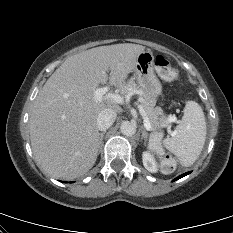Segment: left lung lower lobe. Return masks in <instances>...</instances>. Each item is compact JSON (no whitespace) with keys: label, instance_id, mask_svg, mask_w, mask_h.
Returning a JSON list of instances; mask_svg holds the SVG:
<instances>
[{"label":"left lung lower lobe","instance_id":"obj_1","mask_svg":"<svg viewBox=\"0 0 233 233\" xmlns=\"http://www.w3.org/2000/svg\"><path fill=\"white\" fill-rule=\"evenodd\" d=\"M189 173H190V172H186V173L180 175L179 177L175 178L174 181H175V180H178V179H180V178H182V177H184V176H186V175H188Z\"/></svg>","mask_w":233,"mask_h":233}]
</instances>
